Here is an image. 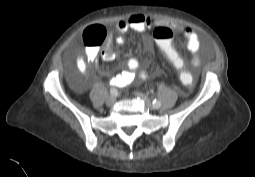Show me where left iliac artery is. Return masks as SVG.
I'll use <instances>...</instances> for the list:
<instances>
[{
  "label": "left iliac artery",
  "instance_id": "left-iliac-artery-1",
  "mask_svg": "<svg viewBox=\"0 0 255 177\" xmlns=\"http://www.w3.org/2000/svg\"><path fill=\"white\" fill-rule=\"evenodd\" d=\"M153 105H154V107H156V108H159L160 106H161V102L159 101V100H154L153 101Z\"/></svg>",
  "mask_w": 255,
  "mask_h": 177
}]
</instances>
